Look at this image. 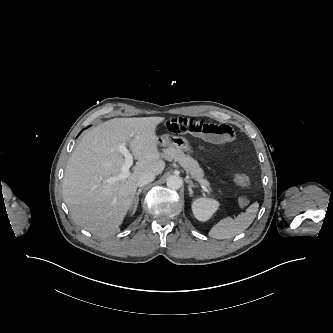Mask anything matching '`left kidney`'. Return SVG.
<instances>
[{"label":"left kidney","mask_w":333,"mask_h":333,"mask_svg":"<svg viewBox=\"0 0 333 333\" xmlns=\"http://www.w3.org/2000/svg\"><path fill=\"white\" fill-rule=\"evenodd\" d=\"M219 206V202L215 199L197 198L193 201L192 211L199 221L206 222L217 211Z\"/></svg>","instance_id":"5707ae66"}]
</instances>
